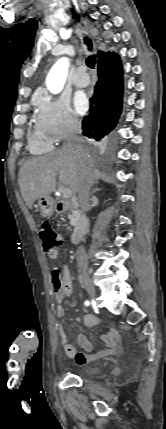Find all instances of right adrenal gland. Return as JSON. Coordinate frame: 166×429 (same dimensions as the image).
Segmentation results:
<instances>
[{"label":"right adrenal gland","mask_w":166,"mask_h":429,"mask_svg":"<svg viewBox=\"0 0 166 429\" xmlns=\"http://www.w3.org/2000/svg\"><path fill=\"white\" fill-rule=\"evenodd\" d=\"M94 184H95V181L92 182V186H94Z\"/></svg>","instance_id":"1"}]
</instances>
